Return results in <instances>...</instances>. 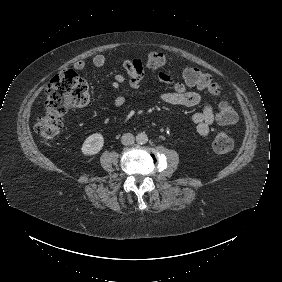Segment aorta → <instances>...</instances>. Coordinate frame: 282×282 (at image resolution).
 <instances>
[{
    "label": "aorta",
    "instance_id": "1",
    "mask_svg": "<svg viewBox=\"0 0 282 282\" xmlns=\"http://www.w3.org/2000/svg\"><path fill=\"white\" fill-rule=\"evenodd\" d=\"M136 142L140 145H144L148 142V135L145 132H140L136 135Z\"/></svg>",
    "mask_w": 282,
    "mask_h": 282
}]
</instances>
